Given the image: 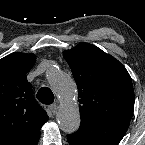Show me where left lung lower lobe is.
I'll return each mask as SVG.
<instances>
[{
    "instance_id": "obj_1",
    "label": "left lung lower lobe",
    "mask_w": 145,
    "mask_h": 145,
    "mask_svg": "<svg viewBox=\"0 0 145 145\" xmlns=\"http://www.w3.org/2000/svg\"><path fill=\"white\" fill-rule=\"evenodd\" d=\"M128 127L126 121L81 120L80 128L67 140L70 145H117Z\"/></svg>"
}]
</instances>
